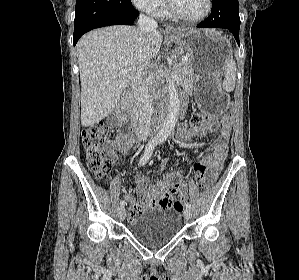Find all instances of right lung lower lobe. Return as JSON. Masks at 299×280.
<instances>
[{"instance_id": "1", "label": "right lung lower lobe", "mask_w": 299, "mask_h": 280, "mask_svg": "<svg viewBox=\"0 0 299 280\" xmlns=\"http://www.w3.org/2000/svg\"><path fill=\"white\" fill-rule=\"evenodd\" d=\"M138 11L130 0H76L74 46L86 32L108 25H132Z\"/></svg>"}]
</instances>
